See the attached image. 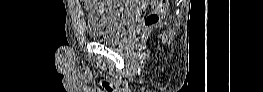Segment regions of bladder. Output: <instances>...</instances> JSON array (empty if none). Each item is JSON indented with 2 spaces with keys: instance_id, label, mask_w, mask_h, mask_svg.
<instances>
[{
  "instance_id": "1",
  "label": "bladder",
  "mask_w": 263,
  "mask_h": 92,
  "mask_svg": "<svg viewBox=\"0 0 263 92\" xmlns=\"http://www.w3.org/2000/svg\"><path fill=\"white\" fill-rule=\"evenodd\" d=\"M112 3L113 1H98L90 10L87 24L92 40L116 44L132 28L137 17L136 10L116 8Z\"/></svg>"
}]
</instances>
